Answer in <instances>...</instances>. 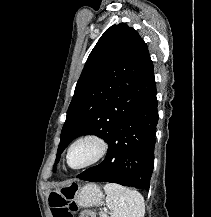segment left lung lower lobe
<instances>
[{
    "mask_svg": "<svg viewBox=\"0 0 211 217\" xmlns=\"http://www.w3.org/2000/svg\"><path fill=\"white\" fill-rule=\"evenodd\" d=\"M158 123L156 87L113 129L105 160L77 175L86 181H105L147 190L153 171Z\"/></svg>",
    "mask_w": 211,
    "mask_h": 217,
    "instance_id": "left-lung-lower-lobe-1",
    "label": "left lung lower lobe"
}]
</instances>
